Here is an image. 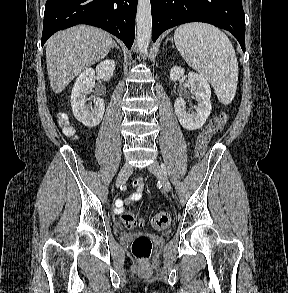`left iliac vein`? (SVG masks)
I'll list each match as a JSON object with an SVG mask.
<instances>
[{
	"label": "left iliac vein",
	"instance_id": "1",
	"mask_svg": "<svg viewBox=\"0 0 288 293\" xmlns=\"http://www.w3.org/2000/svg\"><path fill=\"white\" fill-rule=\"evenodd\" d=\"M148 169L150 172H152L156 177H158L161 180L164 190L166 192H170L171 191V184H170L168 178L165 176L160 164L157 161H153L148 166Z\"/></svg>",
	"mask_w": 288,
	"mask_h": 293
}]
</instances>
